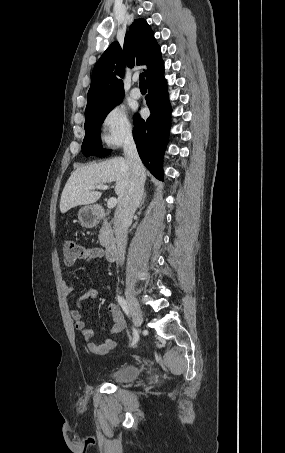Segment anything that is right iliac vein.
I'll list each match as a JSON object with an SVG mask.
<instances>
[{
    "instance_id": "63e3f726",
    "label": "right iliac vein",
    "mask_w": 285,
    "mask_h": 453,
    "mask_svg": "<svg viewBox=\"0 0 285 453\" xmlns=\"http://www.w3.org/2000/svg\"><path fill=\"white\" fill-rule=\"evenodd\" d=\"M130 314L132 317V321L135 327H140L142 322H143V316H142V311L141 308L133 296V294L130 292L129 289H126L125 291Z\"/></svg>"
}]
</instances>
